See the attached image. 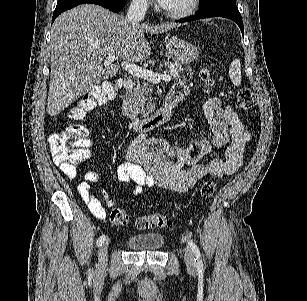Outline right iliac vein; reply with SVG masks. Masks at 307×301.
<instances>
[{"mask_svg":"<svg viewBox=\"0 0 307 301\" xmlns=\"http://www.w3.org/2000/svg\"><path fill=\"white\" fill-rule=\"evenodd\" d=\"M110 243V239L105 240L99 248L98 253V270H104L107 267L108 256L107 250Z\"/></svg>","mask_w":307,"mask_h":301,"instance_id":"right-iliac-vein-1","label":"right iliac vein"}]
</instances>
